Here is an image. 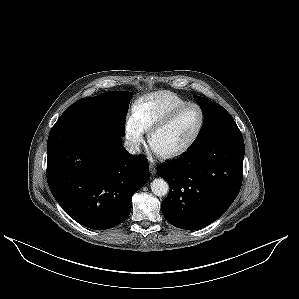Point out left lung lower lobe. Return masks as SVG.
I'll use <instances>...</instances> for the list:
<instances>
[{"mask_svg":"<svg viewBox=\"0 0 299 299\" xmlns=\"http://www.w3.org/2000/svg\"><path fill=\"white\" fill-rule=\"evenodd\" d=\"M244 153L243 137L232 119L178 160L159 167L158 175L170 185L161 204L166 220L197 230L221 217L240 191Z\"/></svg>","mask_w":299,"mask_h":299,"instance_id":"left-lung-lower-lobe-1","label":"left lung lower lobe"}]
</instances>
